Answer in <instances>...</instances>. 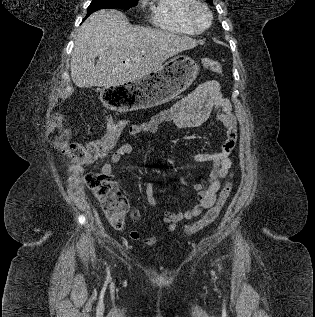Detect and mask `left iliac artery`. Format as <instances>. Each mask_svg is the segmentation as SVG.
I'll return each mask as SVG.
<instances>
[{
  "mask_svg": "<svg viewBox=\"0 0 315 317\" xmlns=\"http://www.w3.org/2000/svg\"><path fill=\"white\" fill-rule=\"evenodd\" d=\"M218 266H219V269H221V266L218 264Z\"/></svg>",
  "mask_w": 315,
  "mask_h": 317,
  "instance_id": "1",
  "label": "left iliac artery"
}]
</instances>
